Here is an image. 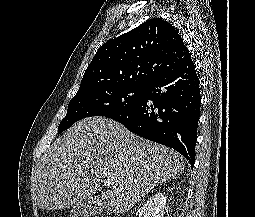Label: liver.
<instances>
[{
  "instance_id": "obj_1",
  "label": "liver",
  "mask_w": 255,
  "mask_h": 217,
  "mask_svg": "<svg viewBox=\"0 0 255 217\" xmlns=\"http://www.w3.org/2000/svg\"><path fill=\"white\" fill-rule=\"evenodd\" d=\"M184 166L174 150L114 120L90 117L68 129L41 157L32 176V199L40 209L62 210L93 195L104 179L112 189L102 193L98 207L123 213Z\"/></svg>"
}]
</instances>
